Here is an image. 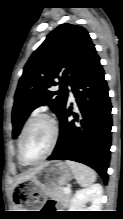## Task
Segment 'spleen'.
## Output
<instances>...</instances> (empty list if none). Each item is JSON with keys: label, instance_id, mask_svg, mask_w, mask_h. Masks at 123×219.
<instances>
[{"label": "spleen", "instance_id": "obj_1", "mask_svg": "<svg viewBox=\"0 0 123 219\" xmlns=\"http://www.w3.org/2000/svg\"><path fill=\"white\" fill-rule=\"evenodd\" d=\"M66 163L81 186L86 187L96 181L95 172L88 166L73 161H66Z\"/></svg>", "mask_w": 123, "mask_h": 219}]
</instances>
